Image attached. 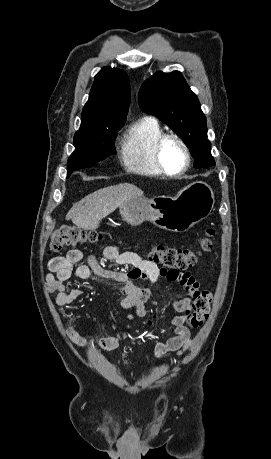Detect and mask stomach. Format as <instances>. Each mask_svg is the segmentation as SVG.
Wrapping results in <instances>:
<instances>
[{"label": "stomach", "instance_id": "0dacf381", "mask_svg": "<svg viewBox=\"0 0 271 459\" xmlns=\"http://www.w3.org/2000/svg\"><path fill=\"white\" fill-rule=\"evenodd\" d=\"M215 204L212 188L205 182H194L184 190H180L174 198L158 196L147 200L144 196H136L119 206L123 222L131 226H139L145 220L158 228L168 231H187L210 216Z\"/></svg>", "mask_w": 271, "mask_h": 459}]
</instances>
